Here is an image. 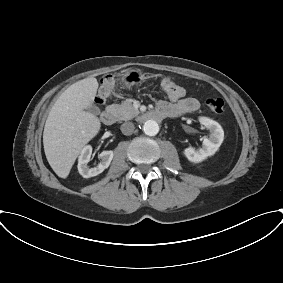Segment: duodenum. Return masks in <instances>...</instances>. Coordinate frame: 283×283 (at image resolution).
I'll use <instances>...</instances> for the list:
<instances>
[{
  "mask_svg": "<svg viewBox=\"0 0 283 283\" xmlns=\"http://www.w3.org/2000/svg\"><path fill=\"white\" fill-rule=\"evenodd\" d=\"M173 112L170 110H154V111H148L143 113L140 116L141 121H161L164 118L172 117ZM116 114L114 110L112 109H107L103 111L100 115V120L102 123L109 125L112 124L115 121Z\"/></svg>",
  "mask_w": 283,
  "mask_h": 283,
  "instance_id": "410a0bca",
  "label": "duodenum"
}]
</instances>
